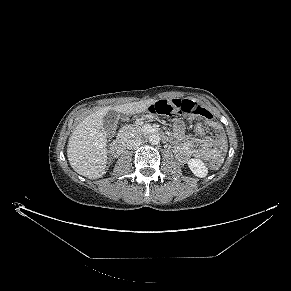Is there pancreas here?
Masks as SVG:
<instances>
[{"instance_id": "cf45deb5", "label": "pancreas", "mask_w": 291, "mask_h": 291, "mask_svg": "<svg viewBox=\"0 0 291 291\" xmlns=\"http://www.w3.org/2000/svg\"><path fill=\"white\" fill-rule=\"evenodd\" d=\"M132 131H141V127L139 124H134V125H127L124 126L120 132L119 135H127L128 133L132 132Z\"/></svg>"}]
</instances>
